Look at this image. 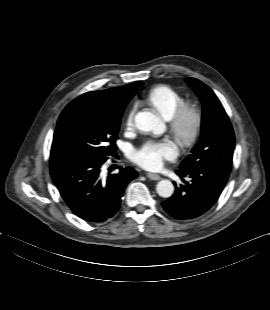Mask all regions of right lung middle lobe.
<instances>
[{
	"label": "right lung middle lobe",
	"instance_id": "dd1d6c3e",
	"mask_svg": "<svg viewBox=\"0 0 270 310\" xmlns=\"http://www.w3.org/2000/svg\"><path fill=\"white\" fill-rule=\"evenodd\" d=\"M120 119L96 97L79 96L59 117L51 157L77 156L105 162L117 149Z\"/></svg>",
	"mask_w": 270,
	"mask_h": 310
}]
</instances>
